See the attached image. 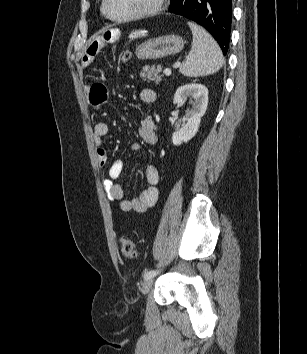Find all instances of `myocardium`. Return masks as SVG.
<instances>
[{"label": "myocardium", "mask_w": 307, "mask_h": 354, "mask_svg": "<svg viewBox=\"0 0 307 354\" xmlns=\"http://www.w3.org/2000/svg\"><path fill=\"white\" fill-rule=\"evenodd\" d=\"M166 0H155L154 3L147 9L127 16H117L114 15L110 9L109 0H103V8L106 16L116 22H129L134 20L143 19L146 17L153 16L160 12L165 4Z\"/></svg>", "instance_id": "myocardium-1"}]
</instances>
